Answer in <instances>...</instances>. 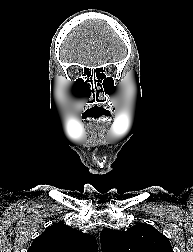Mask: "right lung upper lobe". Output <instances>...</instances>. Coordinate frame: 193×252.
Instances as JSON below:
<instances>
[{
    "mask_svg": "<svg viewBox=\"0 0 193 252\" xmlns=\"http://www.w3.org/2000/svg\"><path fill=\"white\" fill-rule=\"evenodd\" d=\"M97 249L94 236L59 222L35 238L28 252H97Z\"/></svg>",
    "mask_w": 193,
    "mask_h": 252,
    "instance_id": "cb5924a9",
    "label": "right lung upper lobe"
}]
</instances>
